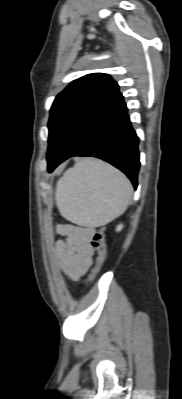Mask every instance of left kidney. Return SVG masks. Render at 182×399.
Returning a JSON list of instances; mask_svg holds the SVG:
<instances>
[{"label":"left kidney","mask_w":182,"mask_h":399,"mask_svg":"<svg viewBox=\"0 0 182 399\" xmlns=\"http://www.w3.org/2000/svg\"><path fill=\"white\" fill-rule=\"evenodd\" d=\"M122 228H123V225H122V224H119V225L117 226V228H116V231L119 232V231L122 230Z\"/></svg>","instance_id":"1"}]
</instances>
